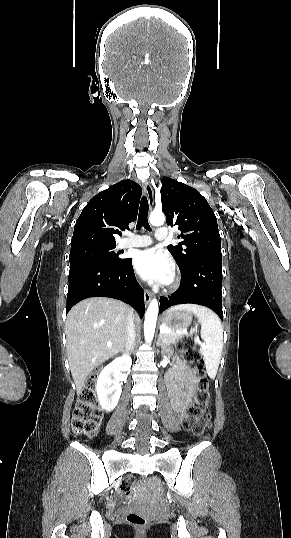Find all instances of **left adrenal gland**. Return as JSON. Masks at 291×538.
<instances>
[{"label": "left adrenal gland", "instance_id": "a2214340", "mask_svg": "<svg viewBox=\"0 0 291 538\" xmlns=\"http://www.w3.org/2000/svg\"><path fill=\"white\" fill-rule=\"evenodd\" d=\"M160 338H161V337H160V335H159L157 345H161V347H162L161 354H164L165 344H164V342H163Z\"/></svg>", "mask_w": 291, "mask_h": 538}]
</instances>
